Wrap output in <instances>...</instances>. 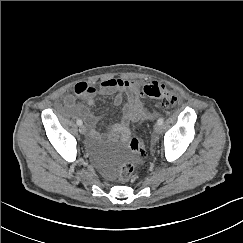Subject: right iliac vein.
I'll return each mask as SVG.
<instances>
[{
	"instance_id": "1",
	"label": "right iliac vein",
	"mask_w": 243,
	"mask_h": 243,
	"mask_svg": "<svg viewBox=\"0 0 243 243\" xmlns=\"http://www.w3.org/2000/svg\"><path fill=\"white\" fill-rule=\"evenodd\" d=\"M79 132L84 135L86 133V127L84 125H80Z\"/></svg>"
}]
</instances>
